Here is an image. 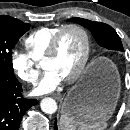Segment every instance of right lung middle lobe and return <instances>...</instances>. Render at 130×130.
I'll use <instances>...</instances> for the list:
<instances>
[{
  "instance_id": "1",
  "label": "right lung middle lobe",
  "mask_w": 130,
  "mask_h": 130,
  "mask_svg": "<svg viewBox=\"0 0 130 130\" xmlns=\"http://www.w3.org/2000/svg\"><path fill=\"white\" fill-rule=\"evenodd\" d=\"M29 29L30 25L27 23L10 16H0V70L14 76L12 48Z\"/></svg>"
}]
</instances>
